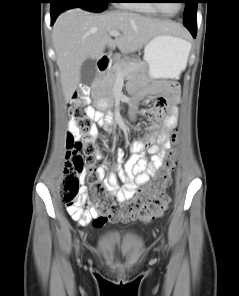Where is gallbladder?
Listing matches in <instances>:
<instances>
[{"label":"gallbladder","instance_id":"bac80fb5","mask_svg":"<svg viewBox=\"0 0 239 296\" xmlns=\"http://www.w3.org/2000/svg\"><path fill=\"white\" fill-rule=\"evenodd\" d=\"M96 75V62L91 58H87L81 66V81L90 84Z\"/></svg>","mask_w":239,"mask_h":296}]
</instances>
